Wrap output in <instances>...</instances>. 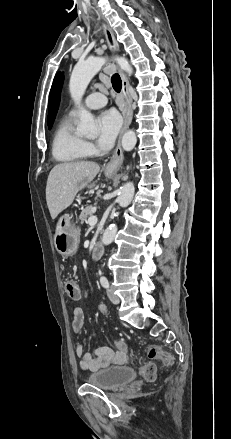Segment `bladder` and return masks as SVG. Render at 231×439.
<instances>
[{
    "instance_id": "bladder-1",
    "label": "bladder",
    "mask_w": 231,
    "mask_h": 439,
    "mask_svg": "<svg viewBox=\"0 0 231 439\" xmlns=\"http://www.w3.org/2000/svg\"><path fill=\"white\" fill-rule=\"evenodd\" d=\"M136 371L128 366H113L90 374L87 383L105 390H116L133 381Z\"/></svg>"
}]
</instances>
